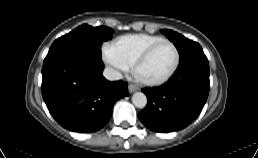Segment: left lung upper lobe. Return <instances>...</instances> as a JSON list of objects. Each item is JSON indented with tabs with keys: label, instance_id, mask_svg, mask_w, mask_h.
Returning <instances> with one entry per match:
<instances>
[{
	"label": "left lung upper lobe",
	"instance_id": "1",
	"mask_svg": "<svg viewBox=\"0 0 258 158\" xmlns=\"http://www.w3.org/2000/svg\"><path fill=\"white\" fill-rule=\"evenodd\" d=\"M162 32L174 43L179 52L180 59L186 56L193 47L199 45L174 31L164 29Z\"/></svg>",
	"mask_w": 258,
	"mask_h": 158
}]
</instances>
